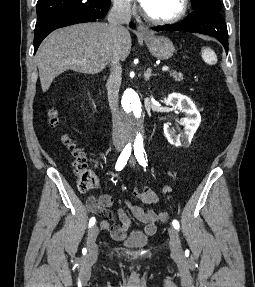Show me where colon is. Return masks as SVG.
Returning <instances> with one entry per match:
<instances>
[{"instance_id":"5ec220e1","label":"colon","mask_w":255,"mask_h":287,"mask_svg":"<svg viewBox=\"0 0 255 287\" xmlns=\"http://www.w3.org/2000/svg\"><path fill=\"white\" fill-rule=\"evenodd\" d=\"M48 116L49 125L51 127H56L59 122L56 109L51 108ZM63 141L69 147L74 157V167L77 176L78 189L81 192H86L92 189L97 184V177L88 164L84 152L77 148L68 137H64ZM159 220L162 222H168L170 220V215L167 212H160Z\"/></svg>"}]
</instances>
